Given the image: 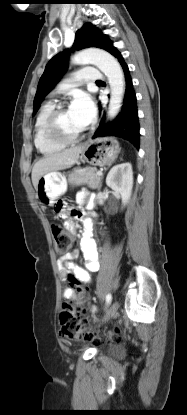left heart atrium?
Returning a JSON list of instances; mask_svg holds the SVG:
<instances>
[{
  "instance_id": "left-heart-atrium-1",
  "label": "left heart atrium",
  "mask_w": 187,
  "mask_h": 415,
  "mask_svg": "<svg viewBox=\"0 0 187 415\" xmlns=\"http://www.w3.org/2000/svg\"><path fill=\"white\" fill-rule=\"evenodd\" d=\"M69 110L84 128L88 126L95 117L94 102L92 98L84 92L78 93L74 97Z\"/></svg>"
}]
</instances>
